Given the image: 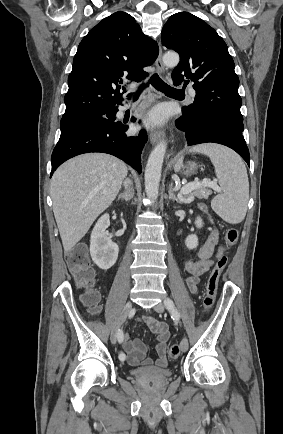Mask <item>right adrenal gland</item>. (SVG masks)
Here are the masks:
<instances>
[{"mask_svg": "<svg viewBox=\"0 0 283 434\" xmlns=\"http://www.w3.org/2000/svg\"><path fill=\"white\" fill-rule=\"evenodd\" d=\"M133 196H134V189L131 188V189H129L128 191H126V192L120 194V195L118 196V200H119V199H122V200H125L126 202H129V201L133 198Z\"/></svg>", "mask_w": 283, "mask_h": 434, "instance_id": "right-adrenal-gland-1", "label": "right adrenal gland"}]
</instances>
